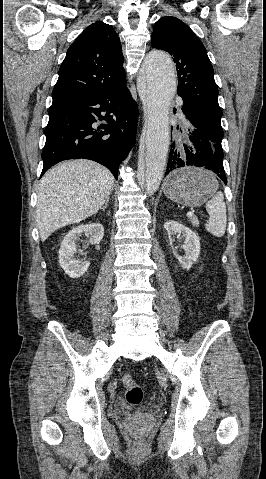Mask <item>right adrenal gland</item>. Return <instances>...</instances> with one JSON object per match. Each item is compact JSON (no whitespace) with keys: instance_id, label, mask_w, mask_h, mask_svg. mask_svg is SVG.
<instances>
[{"instance_id":"1","label":"right adrenal gland","mask_w":266,"mask_h":479,"mask_svg":"<svg viewBox=\"0 0 266 479\" xmlns=\"http://www.w3.org/2000/svg\"><path fill=\"white\" fill-rule=\"evenodd\" d=\"M108 202H109V199L105 202V205L101 208V210L105 211V209H106L107 206H108Z\"/></svg>"}]
</instances>
